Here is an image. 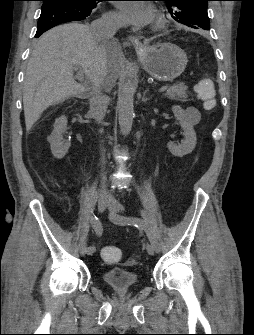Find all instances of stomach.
Segmentation results:
<instances>
[{"label": "stomach", "instance_id": "obj_1", "mask_svg": "<svg viewBox=\"0 0 254 335\" xmlns=\"http://www.w3.org/2000/svg\"><path fill=\"white\" fill-rule=\"evenodd\" d=\"M145 71L161 82H169L179 77L185 70L188 59L177 45L165 42L137 50Z\"/></svg>", "mask_w": 254, "mask_h": 335}]
</instances>
